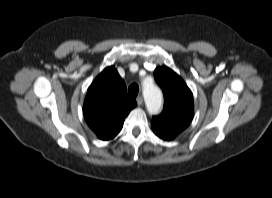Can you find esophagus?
<instances>
[{
  "instance_id": "esophagus-1",
  "label": "esophagus",
  "mask_w": 272,
  "mask_h": 198,
  "mask_svg": "<svg viewBox=\"0 0 272 198\" xmlns=\"http://www.w3.org/2000/svg\"><path fill=\"white\" fill-rule=\"evenodd\" d=\"M136 101H137V104L139 106L142 105L143 104V97L142 96H138L137 99H136Z\"/></svg>"
}]
</instances>
